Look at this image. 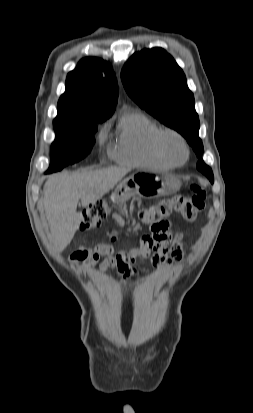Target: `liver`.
I'll return each instance as SVG.
<instances>
[{
  "mask_svg": "<svg viewBox=\"0 0 253 413\" xmlns=\"http://www.w3.org/2000/svg\"><path fill=\"white\" fill-rule=\"evenodd\" d=\"M129 168L109 167L83 170L50 177L43 189V205L50 227L49 239L56 251L62 252L74 237L82 221L77 212L81 200L86 207L112 190L129 172Z\"/></svg>",
  "mask_w": 253,
  "mask_h": 413,
  "instance_id": "obj_1",
  "label": "liver"
}]
</instances>
